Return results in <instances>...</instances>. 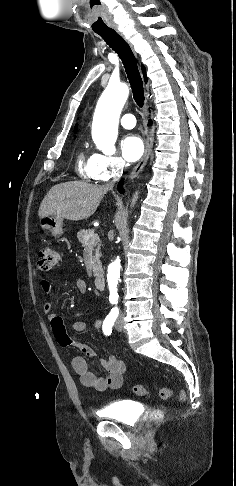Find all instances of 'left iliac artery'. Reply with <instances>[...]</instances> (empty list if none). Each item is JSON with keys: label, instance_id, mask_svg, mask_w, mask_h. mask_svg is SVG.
Returning <instances> with one entry per match:
<instances>
[{"label": "left iliac artery", "instance_id": "obj_1", "mask_svg": "<svg viewBox=\"0 0 236 486\" xmlns=\"http://www.w3.org/2000/svg\"><path fill=\"white\" fill-rule=\"evenodd\" d=\"M110 301H111V303H117V299H115V300L111 299Z\"/></svg>", "mask_w": 236, "mask_h": 486}]
</instances>
